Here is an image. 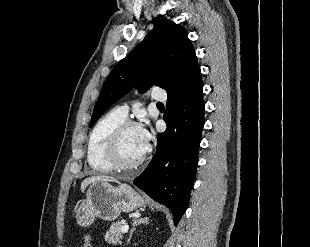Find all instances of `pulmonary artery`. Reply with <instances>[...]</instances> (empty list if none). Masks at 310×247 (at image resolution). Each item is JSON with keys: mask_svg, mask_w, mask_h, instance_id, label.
<instances>
[{"mask_svg": "<svg viewBox=\"0 0 310 247\" xmlns=\"http://www.w3.org/2000/svg\"><path fill=\"white\" fill-rule=\"evenodd\" d=\"M152 98L156 101H165L167 98L166 93L159 91L158 89L156 91L152 92ZM116 110L123 116L127 117L129 112V107L127 104H122L116 107Z\"/></svg>", "mask_w": 310, "mask_h": 247, "instance_id": "obj_1", "label": "pulmonary artery"}]
</instances>
